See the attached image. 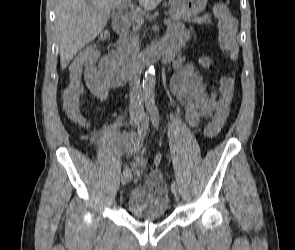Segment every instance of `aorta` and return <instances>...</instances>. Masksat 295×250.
<instances>
[{"label": "aorta", "mask_w": 295, "mask_h": 250, "mask_svg": "<svg viewBox=\"0 0 295 250\" xmlns=\"http://www.w3.org/2000/svg\"><path fill=\"white\" fill-rule=\"evenodd\" d=\"M156 77L154 67H149L143 79V99L145 104L149 107L154 106V87H155Z\"/></svg>", "instance_id": "762f6f07"}]
</instances>
